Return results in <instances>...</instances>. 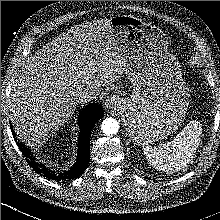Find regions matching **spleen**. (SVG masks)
I'll list each match as a JSON object with an SVG mask.
<instances>
[{
	"label": "spleen",
	"instance_id": "3e777b00",
	"mask_svg": "<svg viewBox=\"0 0 220 220\" xmlns=\"http://www.w3.org/2000/svg\"><path fill=\"white\" fill-rule=\"evenodd\" d=\"M202 128L198 121L188 123L170 142L159 147L143 146L150 164L158 170L174 173L192 162L201 140Z\"/></svg>",
	"mask_w": 220,
	"mask_h": 220
}]
</instances>
